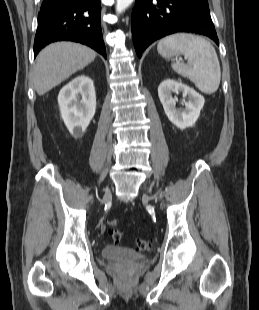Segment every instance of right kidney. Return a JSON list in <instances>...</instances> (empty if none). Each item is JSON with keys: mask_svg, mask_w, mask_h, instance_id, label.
<instances>
[{"mask_svg": "<svg viewBox=\"0 0 259 310\" xmlns=\"http://www.w3.org/2000/svg\"><path fill=\"white\" fill-rule=\"evenodd\" d=\"M58 104L69 132L75 137L81 136L96 111V94L92 79L85 75L74 78L60 90Z\"/></svg>", "mask_w": 259, "mask_h": 310, "instance_id": "ca27d5eb", "label": "right kidney"}]
</instances>
